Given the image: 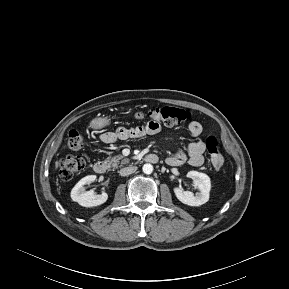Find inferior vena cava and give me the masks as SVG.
Segmentation results:
<instances>
[{"instance_id": "602c4592", "label": "inferior vena cava", "mask_w": 289, "mask_h": 289, "mask_svg": "<svg viewBox=\"0 0 289 289\" xmlns=\"http://www.w3.org/2000/svg\"><path fill=\"white\" fill-rule=\"evenodd\" d=\"M136 170H137L136 166H130V167L122 168L119 171V173H120L121 176H128V175L134 173Z\"/></svg>"}]
</instances>
